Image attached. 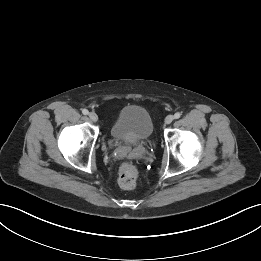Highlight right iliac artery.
Listing matches in <instances>:
<instances>
[{"instance_id":"right-iliac-artery-1","label":"right iliac artery","mask_w":261,"mask_h":261,"mask_svg":"<svg viewBox=\"0 0 261 261\" xmlns=\"http://www.w3.org/2000/svg\"><path fill=\"white\" fill-rule=\"evenodd\" d=\"M82 113H83L84 115H87V114L89 113V111H88L87 109H83V110H82Z\"/></svg>"}]
</instances>
